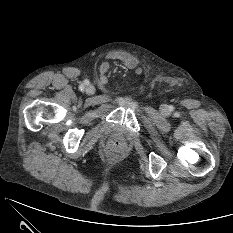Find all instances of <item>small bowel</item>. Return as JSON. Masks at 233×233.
I'll return each mask as SVG.
<instances>
[{
    "label": "small bowel",
    "instance_id": "1",
    "mask_svg": "<svg viewBox=\"0 0 233 233\" xmlns=\"http://www.w3.org/2000/svg\"><path fill=\"white\" fill-rule=\"evenodd\" d=\"M110 61H119L123 63L127 68L135 69L138 73L140 72L137 59L132 54L126 51L118 50L109 53L107 61H104L101 64L100 69L102 71H107L110 67Z\"/></svg>",
    "mask_w": 233,
    "mask_h": 233
}]
</instances>
